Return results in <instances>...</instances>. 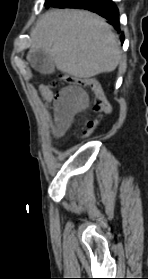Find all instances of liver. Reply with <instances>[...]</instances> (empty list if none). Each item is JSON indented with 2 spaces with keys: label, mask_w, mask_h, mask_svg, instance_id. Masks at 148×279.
<instances>
[{
  "label": "liver",
  "mask_w": 148,
  "mask_h": 279,
  "mask_svg": "<svg viewBox=\"0 0 148 279\" xmlns=\"http://www.w3.org/2000/svg\"><path fill=\"white\" fill-rule=\"evenodd\" d=\"M43 50L58 70L90 78L116 69L121 59L119 42L104 19L88 11L52 10L31 32L29 54Z\"/></svg>",
  "instance_id": "liver-1"
}]
</instances>
